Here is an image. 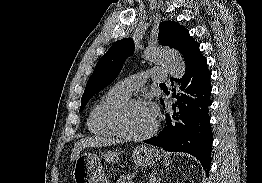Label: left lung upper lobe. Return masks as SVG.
Returning <instances> with one entry per match:
<instances>
[{"mask_svg": "<svg viewBox=\"0 0 262 183\" xmlns=\"http://www.w3.org/2000/svg\"><path fill=\"white\" fill-rule=\"evenodd\" d=\"M158 39L162 45L177 49L186 60L199 50V45L189 36V32L173 21H165L159 25ZM134 51L132 38L118 40L96 64L81 98L82 111L89 99L104 87L108 86L119 74L123 62ZM162 101V99H161Z\"/></svg>", "mask_w": 262, "mask_h": 183, "instance_id": "1", "label": "left lung upper lobe"}]
</instances>
